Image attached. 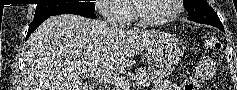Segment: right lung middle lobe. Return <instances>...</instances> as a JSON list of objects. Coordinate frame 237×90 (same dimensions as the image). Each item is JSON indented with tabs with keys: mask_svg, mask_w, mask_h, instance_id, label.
<instances>
[{
	"mask_svg": "<svg viewBox=\"0 0 237 90\" xmlns=\"http://www.w3.org/2000/svg\"><path fill=\"white\" fill-rule=\"evenodd\" d=\"M69 10H86L94 12L95 5L93 2L37 4L34 19H39Z\"/></svg>",
	"mask_w": 237,
	"mask_h": 90,
	"instance_id": "obj_1",
	"label": "right lung middle lobe"
}]
</instances>
